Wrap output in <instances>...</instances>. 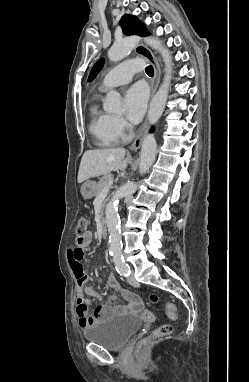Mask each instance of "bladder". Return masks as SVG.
Returning <instances> with one entry per match:
<instances>
[{
  "mask_svg": "<svg viewBox=\"0 0 249 382\" xmlns=\"http://www.w3.org/2000/svg\"><path fill=\"white\" fill-rule=\"evenodd\" d=\"M143 325V319L137 315H116L88 326L83 334L88 342L108 350H120Z\"/></svg>",
  "mask_w": 249,
  "mask_h": 382,
  "instance_id": "obj_1",
  "label": "bladder"
}]
</instances>
